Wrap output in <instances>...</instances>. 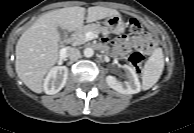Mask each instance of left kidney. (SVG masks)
<instances>
[{
	"label": "left kidney",
	"mask_w": 194,
	"mask_h": 133,
	"mask_svg": "<svg viewBox=\"0 0 194 133\" xmlns=\"http://www.w3.org/2000/svg\"><path fill=\"white\" fill-rule=\"evenodd\" d=\"M122 68L126 73V80L122 82L109 75L106 77L108 86L121 94H136L140 92L141 85L135 69L126 64Z\"/></svg>",
	"instance_id": "left-kidney-1"
}]
</instances>
